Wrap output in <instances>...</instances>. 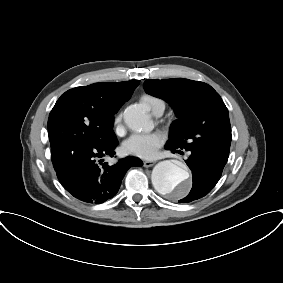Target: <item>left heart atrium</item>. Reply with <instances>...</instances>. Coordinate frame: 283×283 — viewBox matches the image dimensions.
Returning a JSON list of instances; mask_svg holds the SVG:
<instances>
[{"label":"left heart atrium","instance_id":"left-heart-atrium-1","mask_svg":"<svg viewBox=\"0 0 283 283\" xmlns=\"http://www.w3.org/2000/svg\"><path fill=\"white\" fill-rule=\"evenodd\" d=\"M164 143V136L160 132L148 134H133L123 143L124 151L141 159H153Z\"/></svg>","mask_w":283,"mask_h":283}]
</instances>
